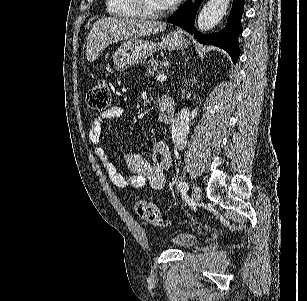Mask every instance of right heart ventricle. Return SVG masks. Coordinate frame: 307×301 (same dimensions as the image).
<instances>
[{"mask_svg": "<svg viewBox=\"0 0 307 301\" xmlns=\"http://www.w3.org/2000/svg\"><path fill=\"white\" fill-rule=\"evenodd\" d=\"M105 17H140V10L131 7L135 0H105Z\"/></svg>", "mask_w": 307, "mask_h": 301, "instance_id": "obj_1", "label": "right heart ventricle"}]
</instances>
